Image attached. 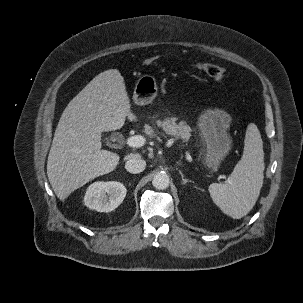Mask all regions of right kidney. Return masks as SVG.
I'll use <instances>...</instances> for the list:
<instances>
[{
    "label": "right kidney",
    "instance_id": "1",
    "mask_svg": "<svg viewBox=\"0 0 303 303\" xmlns=\"http://www.w3.org/2000/svg\"><path fill=\"white\" fill-rule=\"evenodd\" d=\"M125 196L126 188L122 183L99 181L87 188L84 204L98 212H111L123 202Z\"/></svg>",
    "mask_w": 303,
    "mask_h": 303
}]
</instances>
